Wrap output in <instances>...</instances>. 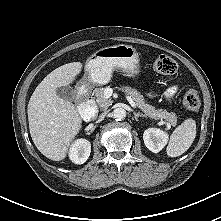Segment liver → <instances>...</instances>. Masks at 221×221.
<instances>
[{"label": "liver", "instance_id": "1", "mask_svg": "<svg viewBox=\"0 0 221 221\" xmlns=\"http://www.w3.org/2000/svg\"><path fill=\"white\" fill-rule=\"evenodd\" d=\"M81 69V62L56 68L40 82L28 103L32 140L37 149L53 161L65 159L82 128V119L74 104L57 94V88L71 84Z\"/></svg>", "mask_w": 221, "mask_h": 221}]
</instances>
